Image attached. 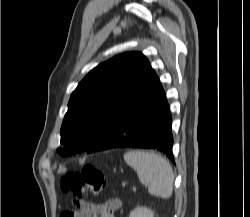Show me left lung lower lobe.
I'll list each match as a JSON object with an SVG mask.
<instances>
[{"label": "left lung lower lobe", "instance_id": "0a47b994", "mask_svg": "<svg viewBox=\"0 0 250 217\" xmlns=\"http://www.w3.org/2000/svg\"><path fill=\"white\" fill-rule=\"evenodd\" d=\"M171 122L164 90L152 70L87 153L120 147L157 149L174 163Z\"/></svg>", "mask_w": 250, "mask_h": 217}]
</instances>
